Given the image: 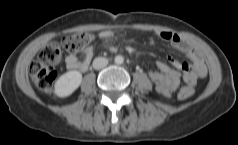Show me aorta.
<instances>
[{"mask_svg": "<svg viewBox=\"0 0 238 145\" xmlns=\"http://www.w3.org/2000/svg\"><path fill=\"white\" fill-rule=\"evenodd\" d=\"M114 61H115L116 64L120 65V64H122L124 62V57L121 56V55H117L115 57Z\"/></svg>", "mask_w": 238, "mask_h": 145, "instance_id": "aorta-1", "label": "aorta"}]
</instances>
